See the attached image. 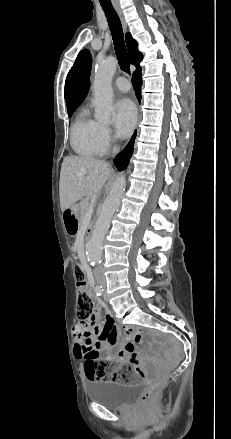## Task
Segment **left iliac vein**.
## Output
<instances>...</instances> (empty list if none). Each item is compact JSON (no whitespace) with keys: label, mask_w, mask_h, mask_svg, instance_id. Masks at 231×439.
<instances>
[{"label":"left iliac vein","mask_w":231,"mask_h":439,"mask_svg":"<svg viewBox=\"0 0 231 439\" xmlns=\"http://www.w3.org/2000/svg\"><path fill=\"white\" fill-rule=\"evenodd\" d=\"M102 286H103V288L106 290V284H105V282L102 283ZM104 299H105V301H107V297H106V296H104Z\"/></svg>","instance_id":"1"}]
</instances>
